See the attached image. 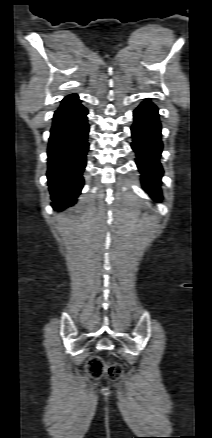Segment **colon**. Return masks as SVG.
<instances>
[{
    "label": "colon",
    "mask_w": 212,
    "mask_h": 438,
    "mask_svg": "<svg viewBox=\"0 0 212 438\" xmlns=\"http://www.w3.org/2000/svg\"><path fill=\"white\" fill-rule=\"evenodd\" d=\"M87 371L95 379L100 378L104 373L111 379H117L122 374L123 369L116 362H106L98 356H93L87 362Z\"/></svg>",
    "instance_id": "1"
}]
</instances>
